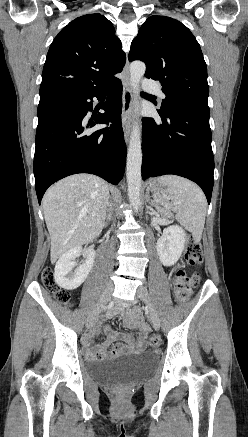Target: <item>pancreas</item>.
Returning a JSON list of instances; mask_svg holds the SVG:
<instances>
[{
	"instance_id": "pancreas-1",
	"label": "pancreas",
	"mask_w": 248,
	"mask_h": 437,
	"mask_svg": "<svg viewBox=\"0 0 248 437\" xmlns=\"http://www.w3.org/2000/svg\"><path fill=\"white\" fill-rule=\"evenodd\" d=\"M159 212L163 218H168L172 215L167 209H159Z\"/></svg>"
}]
</instances>
